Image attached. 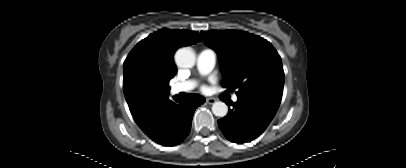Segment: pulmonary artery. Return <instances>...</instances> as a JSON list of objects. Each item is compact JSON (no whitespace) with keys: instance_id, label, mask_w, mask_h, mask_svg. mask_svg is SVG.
I'll list each match as a JSON object with an SVG mask.
<instances>
[{"instance_id":"1","label":"pulmonary artery","mask_w":406,"mask_h":168,"mask_svg":"<svg viewBox=\"0 0 406 168\" xmlns=\"http://www.w3.org/2000/svg\"><path fill=\"white\" fill-rule=\"evenodd\" d=\"M217 55L212 49H204L199 52L197 57V68L202 75L210 73L216 64ZM196 86L195 80H187L184 82L176 83L171 86L173 94L190 92ZM238 97L233 96V101H237Z\"/></svg>"}]
</instances>
